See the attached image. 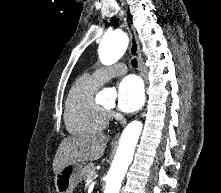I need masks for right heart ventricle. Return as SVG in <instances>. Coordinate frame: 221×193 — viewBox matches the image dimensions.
Instances as JSON below:
<instances>
[{
	"mask_svg": "<svg viewBox=\"0 0 221 193\" xmlns=\"http://www.w3.org/2000/svg\"><path fill=\"white\" fill-rule=\"evenodd\" d=\"M100 86L91 76L79 77L65 99L64 118L72 134H91L104 130L108 124L106 111L95 100Z\"/></svg>",
	"mask_w": 221,
	"mask_h": 193,
	"instance_id": "right-heart-ventricle-1",
	"label": "right heart ventricle"
}]
</instances>
